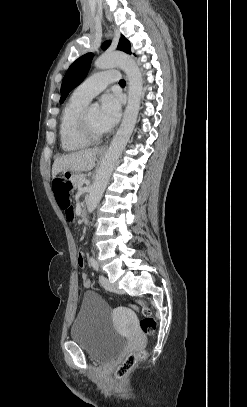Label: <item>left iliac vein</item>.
Wrapping results in <instances>:
<instances>
[{
  "instance_id": "1",
  "label": "left iliac vein",
  "mask_w": 247,
  "mask_h": 407,
  "mask_svg": "<svg viewBox=\"0 0 247 407\" xmlns=\"http://www.w3.org/2000/svg\"><path fill=\"white\" fill-rule=\"evenodd\" d=\"M99 279H100L101 285H102L103 288L106 289L107 291H110V292H116V291H118V288H117L115 285L111 284L110 281H109V279H108L107 277H105V276H103V275H100Z\"/></svg>"
}]
</instances>
